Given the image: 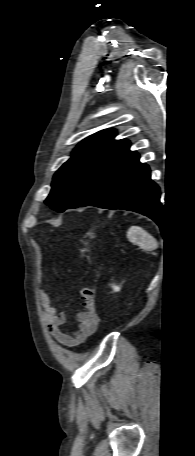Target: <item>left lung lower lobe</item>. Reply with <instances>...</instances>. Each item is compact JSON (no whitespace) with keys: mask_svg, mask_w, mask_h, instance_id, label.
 Returning a JSON list of instances; mask_svg holds the SVG:
<instances>
[{"mask_svg":"<svg viewBox=\"0 0 195 456\" xmlns=\"http://www.w3.org/2000/svg\"><path fill=\"white\" fill-rule=\"evenodd\" d=\"M134 211L157 221L161 211L160 188L151 180L150 169L139 154L128 151L98 191L80 207Z\"/></svg>","mask_w":195,"mask_h":456,"instance_id":"obj_1","label":"left lung lower lobe"}]
</instances>
